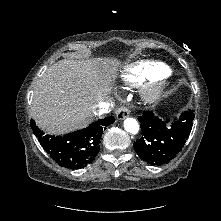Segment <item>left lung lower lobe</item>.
I'll list each match as a JSON object with an SVG mask.
<instances>
[{"instance_id":"obj_1","label":"left lung lower lobe","mask_w":221,"mask_h":221,"mask_svg":"<svg viewBox=\"0 0 221 221\" xmlns=\"http://www.w3.org/2000/svg\"><path fill=\"white\" fill-rule=\"evenodd\" d=\"M194 116L193 110H189L179 118L164 119L152 111H144L138 117L142 137L133 144L138 156L151 165L168 163L186 143Z\"/></svg>"}]
</instances>
